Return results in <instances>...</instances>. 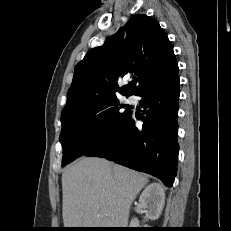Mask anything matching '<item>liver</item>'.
Returning a JSON list of instances; mask_svg holds the SVG:
<instances>
[{"instance_id":"liver-1","label":"liver","mask_w":231,"mask_h":231,"mask_svg":"<svg viewBox=\"0 0 231 231\" xmlns=\"http://www.w3.org/2000/svg\"><path fill=\"white\" fill-rule=\"evenodd\" d=\"M147 182L103 158H81L62 174L64 227L126 228L130 206Z\"/></svg>"}]
</instances>
